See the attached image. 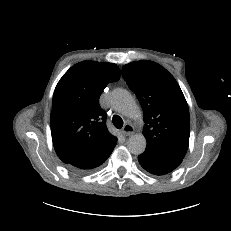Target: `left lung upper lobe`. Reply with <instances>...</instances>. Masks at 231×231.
<instances>
[{"label": "left lung upper lobe", "mask_w": 231, "mask_h": 231, "mask_svg": "<svg viewBox=\"0 0 231 231\" xmlns=\"http://www.w3.org/2000/svg\"><path fill=\"white\" fill-rule=\"evenodd\" d=\"M122 76L143 108L146 150L183 159L189 144L190 117L175 78L148 60L124 65Z\"/></svg>", "instance_id": "left-lung-upper-lobe-1"}]
</instances>
